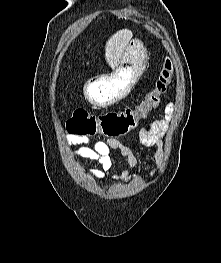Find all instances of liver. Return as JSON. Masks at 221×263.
Here are the masks:
<instances>
[{
	"mask_svg": "<svg viewBox=\"0 0 221 263\" xmlns=\"http://www.w3.org/2000/svg\"><path fill=\"white\" fill-rule=\"evenodd\" d=\"M132 37V32L128 29H122L112 35L105 46V59L111 68H115L124 51L128 47Z\"/></svg>",
	"mask_w": 221,
	"mask_h": 263,
	"instance_id": "obj_1",
	"label": "liver"
}]
</instances>
